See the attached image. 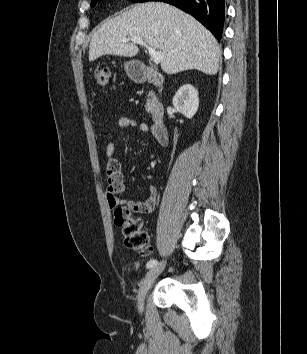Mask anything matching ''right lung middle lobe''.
Returning <instances> with one entry per match:
<instances>
[{
    "mask_svg": "<svg viewBox=\"0 0 307 354\" xmlns=\"http://www.w3.org/2000/svg\"><path fill=\"white\" fill-rule=\"evenodd\" d=\"M98 1H100V0H91V6L93 7ZM131 1L145 2V1H151V0H131ZM153 1H156V0H153Z\"/></svg>",
    "mask_w": 307,
    "mask_h": 354,
    "instance_id": "right-lung-middle-lobe-1",
    "label": "right lung middle lobe"
}]
</instances>
